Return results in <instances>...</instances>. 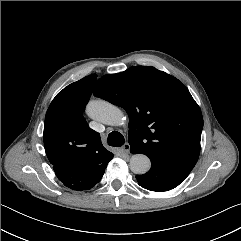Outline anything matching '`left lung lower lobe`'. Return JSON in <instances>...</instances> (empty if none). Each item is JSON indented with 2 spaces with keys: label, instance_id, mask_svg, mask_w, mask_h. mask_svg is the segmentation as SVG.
Wrapping results in <instances>:
<instances>
[{
  "label": "left lung lower lobe",
  "instance_id": "left-lung-lower-lobe-1",
  "mask_svg": "<svg viewBox=\"0 0 241 241\" xmlns=\"http://www.w3.org/2000/svg\"><path fill=\"white\" fill-rule=\"evenodd\" d=\"M131 150L136 152L132 147ZM189 172L172 166L151 161V169L143 175H137L139 185L151 191H167L182 183Z\"/></svg>",
  "mask_w": 241,
  "mask_h": 241
}]
</instances>
